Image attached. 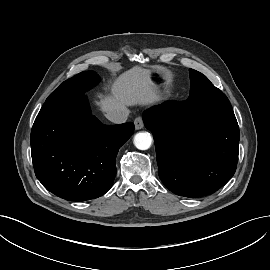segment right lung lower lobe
I'll return each mask as SVG.
<instances>
[{
  "label": "right lung lower lobe",
  "instance_id": "98d812e1",
  "mask_svg": "<svg viewBox=\"0 0 270 270\" xmlns=\"http://www.w3.org/2000/svg\"><path fill=\"white\" fill-rule=\"evenodd\" d=\"M133 131L130 122L102 124L91 114L85 95L45 103L31 131L36 177L65 200L98 198L111 188L118 150Z\"/></svg>",
  "mask_w": 270,
  "mask_h": 270
}]
</instances>
